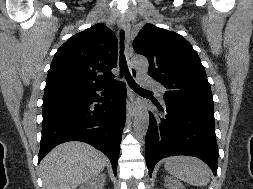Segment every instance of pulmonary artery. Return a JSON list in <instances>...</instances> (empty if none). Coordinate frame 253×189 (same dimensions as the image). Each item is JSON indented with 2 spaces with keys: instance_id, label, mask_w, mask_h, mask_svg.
<instances>
[{
  "instance_id": "e3ab8cb5",
  "label": "pulmonary artery",
  "mask_w": 253,
  "mask_h": 189,
  "mask_svg": "<svg viewBox=\"0 0 253 189\" xmlns=\"http://www.w3.org/2000/svg\"><path fill=\"white\" fill-rule=\"evenodd\" d=\"M140 82L144 87H148V88H156L157 87L155 81L150 76H147V75L141 76Z\"/></svg>"
}]
</instances>
